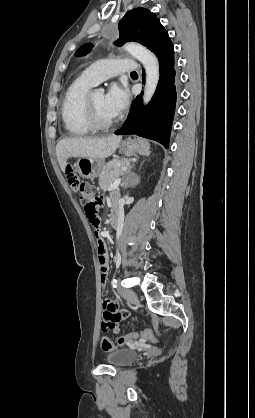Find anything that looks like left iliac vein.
<instances>
[{
    "mask_svg": "<svg viewBox=\"0 0 255 418\" xmlns=\"http://www.w3.org/2000/svg\"><path fill=\"white\" fill-rule=\"evenodd\" d=\"M118 293L124 297L125 299H127L130 302H135L137 299L136 294L129 289L123 288V287H118Z\"/></svg>",
    "mask_w": 255,
    "mask_h": 418,
    "instance_id": "4c4485c4",
    "label": "left iliac vein"
}]
</instances>
